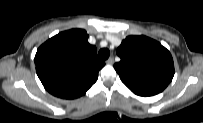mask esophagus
<instances>
[{"label": "esophagus", "mask_w": 203, "mask_h": 123, "mask_svg": "<svg viewBox=\"0 0 203 123\" xmlns=\"http://www.w3.org/2000/svg\"><path fill=\"white\" fill-rule=\"evenodd\" d=\"M114 63V58L110 57L106 60V64L112 65Z\"/></svg>", "instance_id": "34e87169"}]
</instances>
